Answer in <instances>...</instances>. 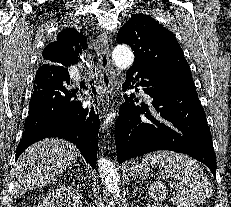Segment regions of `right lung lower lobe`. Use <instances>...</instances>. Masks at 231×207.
<instances>
[{"instance_id": "1", "label": "right lung lower lobe", "mask_w": 231, "mask_h": 207, "mask_svg": "<svg viewBox=\"0 0 231 207\" xmlns=\"http://www.w3.org/2000/svg\"><path fill=\"white\" fill-rule=\"evenodd\" d=\"M60 33L85 40V36L75 29ZM68 85L70 76L65 67L42 65L38 69L16 160L31 144L47 137H58L75 144L90 166L96 167V135L100 124L96 103L90 107L82 106L80 101L73 100L76 91Z\"/></svg>"}]
</instances>
